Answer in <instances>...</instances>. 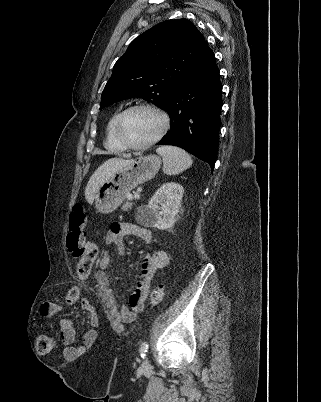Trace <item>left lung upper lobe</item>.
I'll use <instances>...</instances> for the list:
<instances>
[{
  "instance_id": "1",
  "label": "left lung upper lobe",
  "mask_w": 321,
  "mask_h": 402,
  "mask_svg": "<svg viewBox=\"0 0 321 402\" xmlns=\"http://www.w3.org/2000/svg\"><path fill=\"white\" fill-rule=\"evenodd\" d=\"M207 48L203 35L187 19L168 20L138 36L114 65L100 109L141 97L165 109L169 96Z\"/></svg>"
}]
</instances>
